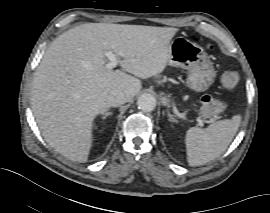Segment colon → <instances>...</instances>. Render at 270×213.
<instances>
[{"label": "colon", "instance_id": "obj_1", "mask_svg": "<svg viewBox=\"0 0 270 213\" xmlns=\"http://www.w3.org/2000/svg\"><path fill=\"white\" fill-rule=\"evenodd\" d=\"M197 37L193 36L192 40L196 41ZM239 82V73L236 69L229 70L221 78V84L226 90H233ZM200 111L206 118H216L225 111L224 103L218 98L211 95H204L201 98Z\"/></svg>", "mask_w": 270, "mask_h": 213}]
</instances>
